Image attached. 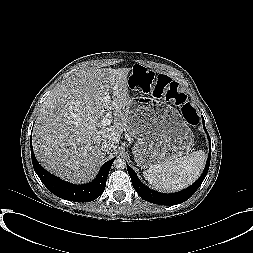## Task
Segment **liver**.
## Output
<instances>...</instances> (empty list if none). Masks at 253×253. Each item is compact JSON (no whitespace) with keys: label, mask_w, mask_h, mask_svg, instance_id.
<instances>
[{"label":"liver","mask_w":253,"mask_h":253,"mask_svg":"<svg viewBox=\"0 0 253 253\" xmlns=\"http://www.w3.org/2000/svg\"><path fill=\"white\" fill-rule=\"evenodd\" d=\"M129 72L130 68H85L51 91L32 137L36 158L44 168L73 183L95 176L126 131ZM107 112H112L114 125L102 126ZM104 143L110 145L107 151L102 149Z\"/></svg>","instance_id":"obj_1"}]
</instances>
